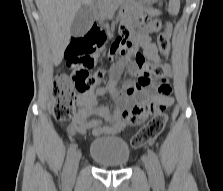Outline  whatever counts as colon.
<instances>
[{
  "label": "colon",
  "instance_id": "colon-1",
  "mask_svg": "<svg viewBox=\"0 0 223 191\" xmlns=\"http://www.w3.org/2000/svg\"><path fill=\"white\" fill-rule=\"evenodd\" d=\"M172 26L167 24L166 29L157 38L160 52L166 56V61L172 57L167 56L170 50V37ZM107 39V34L95 27L81 36L74 37L65 50L67 66L72 71L70 75L58 74L52 89L53 115L58 121H67L75 115L76 95H84L104 80L109 71L99 70L92 74L98 60L100 51ZM109 55L112 58L129 57L137 66L135 85L146 86L153 76L158 78L171 77V62L158 64L145 60L134 48L132 42L124 35L116 37L110 45ZM167 115L159 110L147 124L139 129L131 138L133 148H143L156 138L163 130Z\"/></svg>",
  "mask_w": 223,
  "mask_h": 191
}]
</instances>
